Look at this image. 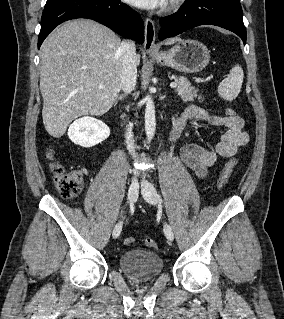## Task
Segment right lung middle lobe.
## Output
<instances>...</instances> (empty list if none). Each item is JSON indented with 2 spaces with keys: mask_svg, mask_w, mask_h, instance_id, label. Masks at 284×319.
I'll list each match as a JSON object with an SVG mask.
<instances>
[{
  "mask_svg": "<svg viewBox=\"0 0 284 319\" xmlns=\"http://www.w3.org/2000/svg\"><path fill=\"white\" fill-rule=\"evenodd\" d=\"M51 1H54V0H47V2H51Z\"/></svg>",
  "mask_w": 284,
  "mask_h": 319,
  "instance_id": "1",
  "label": "right lung middle lobe"
}]
</instances>
